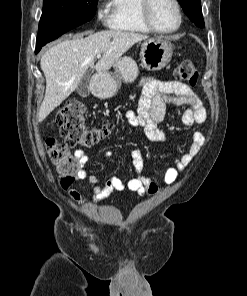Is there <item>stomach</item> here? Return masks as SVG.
Segmentation results:
<instances>
[{
  "mask_svg": "<svg viewBox=\"0 0 247 296\" xmlns=\"http://www.w3.org/2000/svg\"><path fill=\"white\" fill-rule=\"evenodd\" d=\"M174 44L166 37H154L141 45L142 66L149 71L164 68L173 55ZM115 74L97 73L93 77L94 94L102 99L112 97L120 88L121 82H132L138 76V66L131 58L124 56L114 64Z\"/></svg>",
  "mask_w": 247,
  "mask_h": 296,
  "instance_id": "stomach-1",
  "label": "stomach"
}]
</instances>
